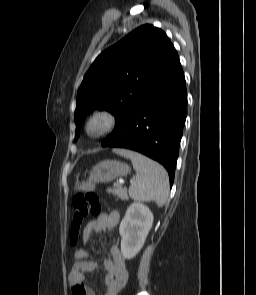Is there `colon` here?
<instances>
[{
	"mask_svg": "<svg viewBox=\"0 0 256 295\" xmlns=\"http://www.w3.org/2000/svg\"><path fill=\"white\" fill-rule=\"evenodd\" d=\"M74 212L70 224L69 235L72 245H76L86 219L96 216L101 211L99 197L94 192L77 194L72 200Z\"/></svg>",
	"mask_w": 256,
	"mask_h": 295,
	"instance_id": "obj_1",
	"label": "colon"
}]
</instances>
